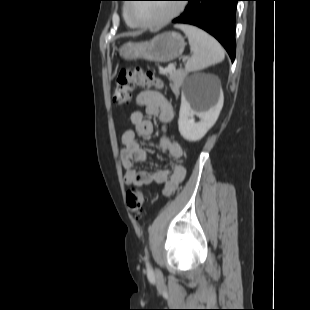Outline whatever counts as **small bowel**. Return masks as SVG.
<instances>
[{
    "mask_svg": "<svg viewBox=\"0 0 310 310\" xmlns=\"http://www.w3.org/2000/svg\"><path fill=\"white\" fill-rule=\"evenodd\" d=\"M136 102L144 110H135L130 114L129 121L135 130H126L122 135L123 148L120 152V160L125 170L124 183L134 187L152 183L162 184V194L170 196L186 177V169L182 161L183 143L172 140L163 133L159 138V147L168 152L176 163L171 168L159 171H138L136 165L146 160L147 153L137 140V135L147 137L153 133V123L146 116H156L165 127L173 119V107L160 92L155 90H142L138 93Z\"/></svg>",
    "mask_w": 310,
    "mask_h": 310,
    "instance_id": "small-bowel-1",
    "label": "small bowel"
}]
</instances>
